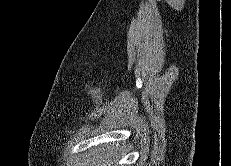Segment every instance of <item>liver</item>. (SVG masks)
<instances>
[{
	"instance_id": "obj_1",
	"label": "liver",
	"mask_w": 231,
	"mask_h": 166,
	"mask_svg": "<svg viewBox=\"0 0 231 166\" xmlns=\"http://www.w3.org/2000/svg\"><path fill=\"white\" fill-rule=\"evenodd\" d=\"M105 153V155H104ZM117 159V155L114 153V145L106 144L102 148L93 150V158L91 166H102L104 163H110Z\"/></svg>"
}]
</instances>
